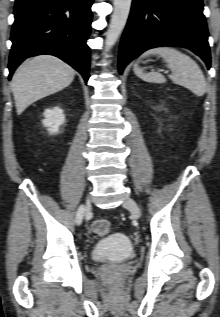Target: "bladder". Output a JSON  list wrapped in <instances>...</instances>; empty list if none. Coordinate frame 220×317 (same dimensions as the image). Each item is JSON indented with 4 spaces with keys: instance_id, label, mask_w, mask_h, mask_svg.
<instances>
[{
    "instance_id": "obj_1",
    "label": "bladder",
    "mask_w": 220,
    "mask_h": 317,
    "mask_svg": "<svg viewBox=\"0 0 220 317\" xmlns=\"http://www.w3.org/2000/svg\"><path fill=\"white\" fill-rule=\"evenodd\" d=\"M133 255L132 242L120 232H112L100 238L91 250V257L95 261L120 262L130 259Z\"/></svg>"
}]
</instances>
